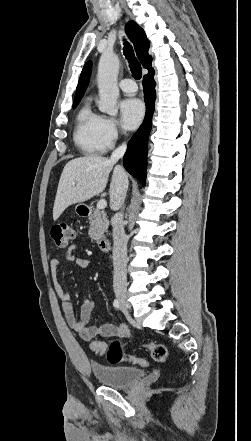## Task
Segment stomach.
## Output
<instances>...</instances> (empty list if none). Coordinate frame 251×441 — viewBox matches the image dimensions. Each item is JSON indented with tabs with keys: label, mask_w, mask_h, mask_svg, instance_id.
Returning <instances> with one entry per match:
<instances>
[{
	"label": "stomach",
	"mask_w": 251,
	"mask_h": 441,
	"mask_svg": "<svg viewBox=\"0 0 251 441\" xmlns=\"http://www.w3.org/2000/svg\"><path fill=\"white\" fill-rule=\"evenodd\" d=\"M83 207H84V204H82V203L77 204L75 207L76 213L81 214L80 212L82 211Z\"/></svg>",
	"instance_id": "0dacf381"
}]
</instances>
